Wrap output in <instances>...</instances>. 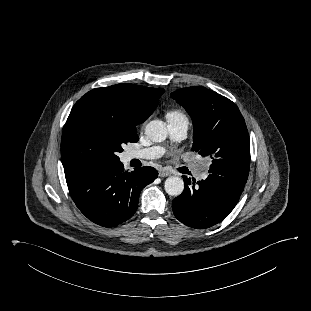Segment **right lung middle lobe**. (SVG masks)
I'll return each instance as SVG.
<instances>
[{"mask_svg": "<svg viewBox=\"0 0 311 311\" xmlns=\"http://www.w3.org/2000/svg\"><path fill=\"white\" fill-rule=\"evenodd\" d=\"M118 113L103 98L80 99L65 123L61 140L63 167L117 163L122 146L137 142Z\"/></svg>", "mask_w": 311, "mask_h": 311, "instance_id": "right-lung-middle-lobe-1", "label": "right lung middle lobe"}]
</instances>
